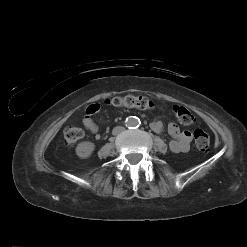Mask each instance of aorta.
Wrapping results in <instances>:
<instances>
[{
  "label": "aorta",
  "instance_id": "762f6f07",
  "mask_svg": "<svg viewBox=\"0 0 247 247\" xmlns=\"http://www.w3.org/2000/svg\"><path fill=\"white\" fill-rule=\"evenodd\" d=\"M125 123H126V126H128V127H137L139 125L140 121L137 117L130 116L126 119Z\"/></svg>",
  "mask_w": 247,
  "mask_h": 247
}]
</instances>
